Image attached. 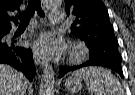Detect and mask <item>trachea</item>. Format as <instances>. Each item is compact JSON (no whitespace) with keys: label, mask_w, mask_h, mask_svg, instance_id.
<instances>
[{"label":"trachea","mask_w":135,"mask_h":95,"mask_svg":"<svg viewBox=\"0 0 135 95\" xmlns=\"http://www.w3.org/2000/svg\"><path fill=\"white\" fill-rule=\"evenodd\" d=\"M35 11H37L39 16L44 17V12L41 8L40 0H29L26 10L18 16L20 20L19 26H27Z\"/></svg>","instance_id":"trachea-1"}]
</instances>
